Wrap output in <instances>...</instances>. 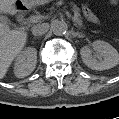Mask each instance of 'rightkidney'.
Here are the masks:
<instances>
[{"label":"right kidney","mask_w":119,"mask_h":119,"mask_svg":"<svg viewBox=\"0 0 119 119\" xmlns=\"http://www.w3.org/2000/svg\"><path fill=\"white\" fill-rule=\"evenodd\" d=\"M37 63V51L35 48H27L16 59L14 73L17 77L23 78L33 72Z\"/></svg>","instance_id":"ca27d5eb"}]
</instances>
